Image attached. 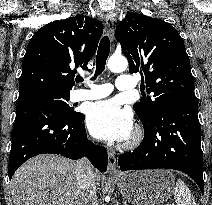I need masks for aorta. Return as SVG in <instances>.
Returning a JSON list of instances; mask_svg holds the SVG:
<instances>
[{"label": "aorta", "mask_w": 212, "mask_h": 205, "mask_svg": "<svg viewBox=\"0 0 212 205\" xmlns=\"http://www.w3.org/2000/svg\"><path fill=\"white\" fill-rule=\"evenodd\" d=\"M107 67L112 72H123L128 67V61L124 56L113 55L108 59Z\"/></svg>", "instance_id": "aorta-1"}]
</instances>
